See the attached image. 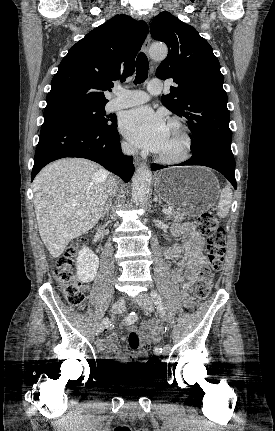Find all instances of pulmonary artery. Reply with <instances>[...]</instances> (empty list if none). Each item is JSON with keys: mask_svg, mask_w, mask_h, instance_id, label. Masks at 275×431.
I'll return each mask as SVG.
<instances>
[{"mask_svg": "<svg viewBox=\"0 0 275 431\" xmlns=\"http://www.w3.org/2000/svg\"><path fill=\"white\" fill-rule=\"evenodd\" d=\"M161 90L162 83L157 79H153L149 82L147 92L142 90H126L123 88H117L115 90L116 97L108 103L107 108L113 111L139 105L147 102L151 95H158Z\"/></svg>", "mask_w": 275, "mask_h": 431, "instance_id": "1", "label": "pulmonary artery"}]
</instances>
